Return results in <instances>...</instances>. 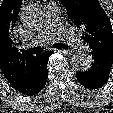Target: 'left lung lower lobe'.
Masks as SVG:
<instances>
[{
	"instance_id": "0a47b994",
	"label": "left lung lower lobe",
	"mask_w": 113,
	"mask_h": 113,
	"mask_svg": "<svg viewBox=\"0 0 113 113\" xmlns=\"http://www.w3.org/2000/svg\"><path fill=\"white\" fill-rule=\"evenodd\" d=\"M92 56L94 62L91 69L86 72H77L76 78L84 87L97 89L108 81L113 57L100 53H92Z\"/></svg>"
}]
</instances>
